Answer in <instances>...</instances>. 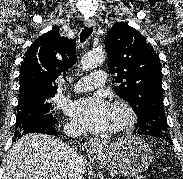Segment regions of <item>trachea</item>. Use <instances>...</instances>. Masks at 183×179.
I'll list each match as a JSON object with an SVG mask.
<instances>
[{"instance_id": "1", "label": "trachea", "mask_w": 183, "mask_h": 179, "mask_svg": "<svg viewBox=\"0 0 183 179\" xmlns=\"http://www.w3.org/2000/svg\"><path fill=\"white\" fill-rule=\"evenodd\" d=\"M92 31H93L92 27L90 28L86 27L80 34V41L84 42L91 35Z\"/></svg>"}]
</instances>
